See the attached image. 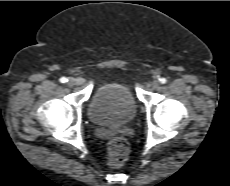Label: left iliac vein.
<instances>
[{
	"mask_svg": "<svg viewBox=\"0 0 230 186\" xmlns=\"http://www.w3.org/2000/svg\"><path fill=\"white\" fill-rule=\"evenodd\" d=\"M160 86V82L158 80H153L151 83V87L153 89H157Z\"/></svg>",
	"mask_w": 230,
	"mask_h": 186,
	"instance_id": "obj_1",
	"label": "left iliac vein"
}]
</instances>
